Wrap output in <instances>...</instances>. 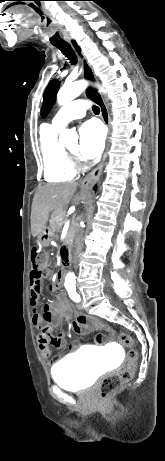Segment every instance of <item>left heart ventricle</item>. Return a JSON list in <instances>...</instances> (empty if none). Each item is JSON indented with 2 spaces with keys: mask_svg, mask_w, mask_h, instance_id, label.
I'll return each mask as SVG.
<instances>
[{
  "mask_svg": "<svg viewBox=\"0 0 165 461\" xmlns=\"http://www.w3.org/2000/svg\"><path fill=\"white\" fill-rule=\"evenodd\" d=\"M69 151L73 152V153H77V145H73L69 148Z\"/></svg>",
  "mask_w": 165,
  "mask_h": 461,
  "instance_id": "b2bd125f",
  "label": "left heart ventricle"
}]
</instances>
